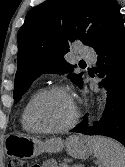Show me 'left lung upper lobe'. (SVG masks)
Returning <instances> with one entry per match:
<instances>
[{
	"label": "left lung upper lobe",
	"instance_id": "1",
	"mask_svg": "<svg viewBox=\"0 0 125 167\" xmlns=\"http://www.w3.org/2000/svg\"><path fill=\"white\" fill-rule=\"evenodd\" d=\"M120 15L116 0H47L31 9L17 37L16 103L40 73L72 71L64 58L71 42L96 47ZM82 74L71 75L73 82L82 85Z\"/></svg>",
	"mask_w": 125,
	"mask_h": 167
}]
</instances>
